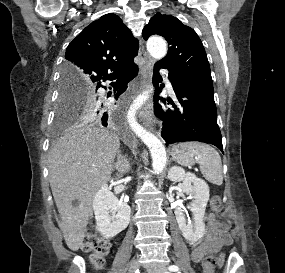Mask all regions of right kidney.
<instances>
[{
	"instance_id": "obj_1",
	"label": "right kidney",
	"mask_w": 285,
	"mask_h": 273,
	"mask_svg": "<svg viewBox=\"0 0 285 273\" xmlns=\"http://www.w3.org/2000/svg\"><path fill=\"white\" fill-rule=\"evenodd\" d=\"M92 206L97 230L105 237L116 236L130 222L131 209L129 205L119 201L109 190L107 184H103L95 194Z\"/></svg>"
}]
</instances>
